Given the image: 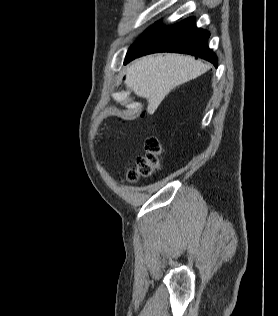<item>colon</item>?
Returning <instances> with one entry per match:
<instances>
[{
  "label": "colon",
  "mask_w": 278,
  "mask_h": 316,
  "mask_svg": "<svg viewBox=\"0 0 278 316\" xmlns=\"http://www.w3.org/2000/svg\"><path fill=\"white\" fill-rule=\"evenodd\" d=\"M163 145L154 135H150L145 140V154L137 158L136 164L131 168L126 179L129 182H137L140 178L152 176L161 166Z\"/></svg>",
  "instance_id": "1"
}]
</instances>
